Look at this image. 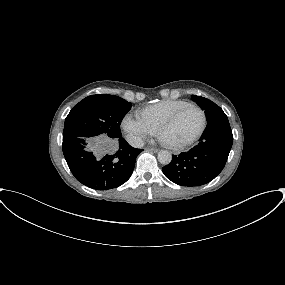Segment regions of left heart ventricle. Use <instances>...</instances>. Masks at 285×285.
Returning a JSON list of instances; mask_svg holds the SVG:
<instances>
[{
	"label": "left heart ventricle",
	"mask_w": 285,
	"mask_h": 285,
	"mask_svg": "<svg viewBox=\"0 0 285 285\" xmlns=\"http://www.w3.org/2000/svg\"><path fill=\"white\" fill-rule=\"evenodd\" d=\"M202 116L195 108L185 109L163 133L166 141L179 143L192 137L200 128Z\"/></svg>",
	"instance_id": "left-heart-ventricle-1"
}]
</instances>
